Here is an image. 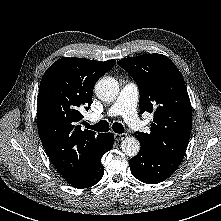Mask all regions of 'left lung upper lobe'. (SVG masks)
Masks as SVG:
<instances>
[{
	"label": "left lung upper lobe",
	"instance_id": "left-lung-upper-lobe-1",
	"mask_svg": "<svg viewBox=\"0 0 221 221\" xmlns=\"http://www.w3.org/2000/svg\"><path fill=\"white\" fill-rule=\"evenodd\" d=\"M136 81L140 112L154 114L150 133L136 132L141 147L183 158L192 128V108L184 79L176 65L161 54L118 61Z\"/></svg>",
	"mask_w": 221,
	"mask_h": 221
}]
</instances>
